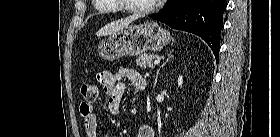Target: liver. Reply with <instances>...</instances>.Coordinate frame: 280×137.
Here are the masks:
<instances>
[{
    "mask_svg": "<svg viewBox=\"0 0 280 137\" xmlns=\"http://www.w3.org/2000/svg\"><path fill=\"white\" fill-rule=\"evenodd\" d=\"M139 16L132 15L129 17H126L124 19H120L118 21L109 23L102 27L97 33V36H106V35H113L123 28L127 27L130 23H132L134 20H136Z\"/></svg>",
    "mask_w": 280,
    "mask_h": 137,
    "instance_id": "1",
    "label": "liver"
}]
</instances>
